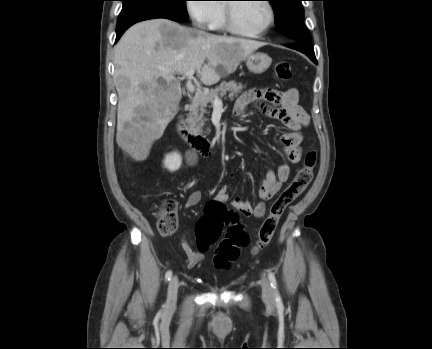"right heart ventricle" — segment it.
Masks as SVG:
<instances>
[{
    "label": "right heart ventricle",
    "mask_w": 432,
    "mask_h": 349,
    "mask_svg": "<svg viewBox=\"0 0 432 349\" xmlns=\"http://www.w3.org/2000/svg\"><path fill=\"white\" fill-rule=\"evenodd\" d=\"M225 27V5L223 3H219V13L213 23L212 28L215 30H224Z\"/></svg>",
    "instance_id": "1"
}]
</instances>
